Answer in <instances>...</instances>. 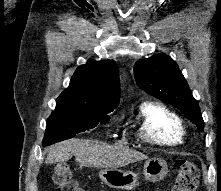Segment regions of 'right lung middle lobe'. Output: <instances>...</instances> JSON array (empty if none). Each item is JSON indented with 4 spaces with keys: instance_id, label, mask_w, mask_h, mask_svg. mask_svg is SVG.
<instances>
[{
    "instance_id": "right-lung-middle-lobe-1",
    "label": "right lung middle lobe",
    "mask_w": 221,
    "mask_h": 191,
    "mask_svg": "<svg viewBox=\"0 0 221 191\" xmlns=\"http://www.w3.org/2000/svg\"><path fill=\"white\" fill-rule=\"evenodd\" d=\"M108 113L80 108L56 107L46 121L43 146L72 138L77 133L96 127L99 123L108 122Z\"/></svg>"
}]
</instances>
